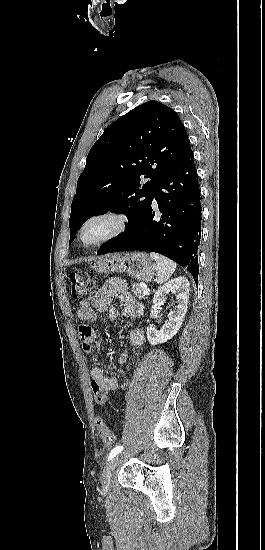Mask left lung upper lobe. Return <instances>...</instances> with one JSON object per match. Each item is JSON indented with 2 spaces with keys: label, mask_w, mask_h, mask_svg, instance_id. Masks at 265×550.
<instances>
[{
  "label": "left lung upper lobe",
  "mask_w": 265,
  "mask_h": 550,
  "mask_svg": "<svg viewBox=\"0 0 265 550\" xmlns=\"http://www.w3.org/2000/svg\"><path fill=\"white\" fill-rule=\"evenodd\" d=\"M177 113L155 100L129 111L104 130L89 151L77 181L69 220L70 243L90 217L107 211L123 213L127 230L142 219L159 184L189 146ZM141 176L150 178L145 184Z\"/></svg>",
  "instance_id": "5c2ea615"
}]
</instances>
